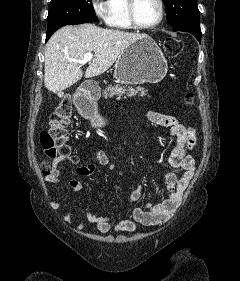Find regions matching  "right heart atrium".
I'll return each instance as SVG.
<instances>
[{
  "instance_id": "1",
  "label": "right heart atrium",
  "mask_w": 240,
  "mask_h": 281,
  "mask_svg": "<svg viewBox=\"0 0 240 281\" xmlns=\"http://www.w3.org/2000/svg\"><path fill=\"white\" fill-rule=\"evenodd\" d=\"M91 7L94 13L105 19L108 12V0H91Z\"/></svg>"
}]
</instances>
